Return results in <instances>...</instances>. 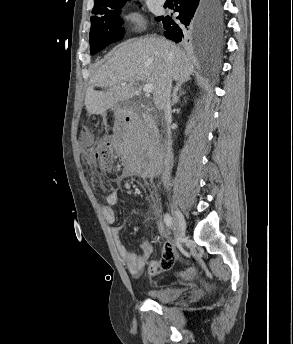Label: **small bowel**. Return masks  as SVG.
I'll list each match as a JSON object with an SVG mask.
<instances>
[{
	"instance_id": "small-bowel-1",
	"label": "small bowel",
	"mask_w": 293,
	"mask_h": 344,
	"mask_svg": "<svg viewBox=\"0 0 293 344\" xmlns=\"http://www.w3.org/2000/svg\"><path fill=\"white\" fill-rule=\"evenodd\" d=\"M106 205L102 206V213L105 220L113 224L116 221V211L114 206L119 203V194L117 190L112 191L106 197ZM156 227L159 235L163 240L162 255L158 259H151L154 251V245L151 241H144L139 248V253L130 252L120 238L121 227L112 226L110 229L116 251L123 261L128 272L135 278L140 277L148 265L149 274L152 276L159 275L169 270L175 259V249L172 246L167 231L160 220H157ZM207 289L197 287L192 290L191 297H200Z\"/></svg>"
}]
</instances>
